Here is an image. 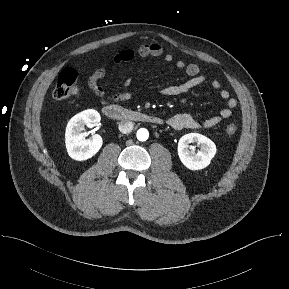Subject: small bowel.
Instances as JSON below:
<instances>
[{
    "label": "small bowel",
    "mask_w": 289,
    "mask_h": 289,
    "mask_svg": "<svg viewBox=\"0 0 289 289\" xmlns=\"http://www.w3.org/2000/svg\"><path fill=\"white\" fill-rule=\"evenodd\" d=\"M149 56H163L165 62H173V56L168 53L164 54L162 45L157 42L141 44L137 49H123L112 57V61L115 64H120L124 62H130L137 57L146 58ZM175 66L180 70H184L188 76V79L183 83L164 87L161 90V94L163 96L176 97L185 94L206 82V77L197 64H186L184 61L178 60L175 62ZM106 73L107 69L104 66L96 69L88 79L89 88L98 97L107 101L128 100L131 97V94L127 91L115 93L112 95L106 93L104 88L100 85V80L105 77ZM210 86L212 89L219 91L220 98L226 101V107L221 109L218 115L212 116L205 120H198L194 116L187 113L173 115L168 119V124L173 129L182 130L211 128L220 124L224 119L231 117L232 110L237 106V100L231 97L227 90L221 89L220 81L213 79L210 81Z\"/></svg>",
    "instance_id": "1"
}]
</instances>
